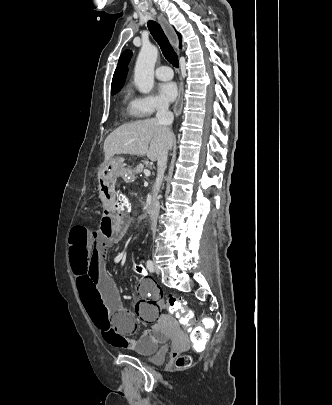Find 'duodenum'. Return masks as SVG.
Listing matches in <instances>:
<instances>
[{"instance_id": "410a0bca", "label": "duodenum", "mask_w": 332, "mask_h": 405, "mask_svg": "<svg viewBox=\"0 0 332 405\" xmlns=\"http://www.w3.org/2000/svg\"><path fill=\"white\" fill-rule=\"evenodd\" d=\"M117 217H118V219L121 220V221H126V219H127V216H123V215L121 214V212L117 214Z\"/></svg>"}]
</instances>
